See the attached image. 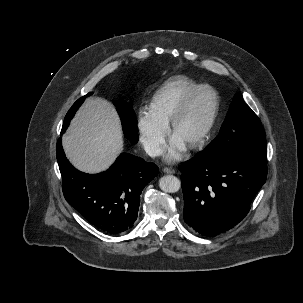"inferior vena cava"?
I'll return each mask as SVG.
<instances>
[{
	"label": "inferior vena cava",
	"instance_id": "1",
	"mask_svg": "<svg viewBox=\"0 0 303 303\" xmlns=\"http://www.w3.org/2000/svg\"><path fill=\"white\" fill-rule=\"evenodd\" d=\"M145 152L150 156V157H156L159 156L162 153V150L159 146V144L155 142H149L144 145Z\"/></svg>",
	"mask_w": 303,
	"mask_h": 303
}]
</instances>
